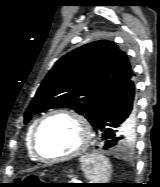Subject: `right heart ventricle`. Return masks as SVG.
<instances>
[{"instance_id": "obj_1", "label": "right heart ventricle", "mask_w": 160, "mask_h": 187, "mask_svg": "<svg viewBox=\"0 0 160 187\" xmlns=\"http://www.w3.org/2000/svg\"><path fill=\"white\" fill-rule=\"evenodd\" d=\"M38 120H35L27 129L26 134H25V139H24V144H25V149H26V153L27 156L31 159L36 161L37 158L34 155L33 151H32V146H31V136H32V132L34 129V126L36 124Z\"/></svg>"}]
</instances>
